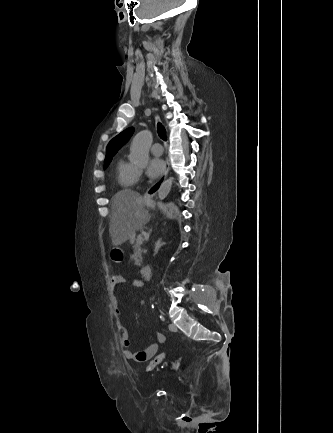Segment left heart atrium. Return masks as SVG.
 Listing matches in <instances>:
<instances>
[{
  "label": "left heart atrium",
  "instance_id": "obj_1",
  "mask_svg": "<svg viewBox=\"0 0 333 433\" xmlns=\"http://www.w3.org/2000/svg\"><path fill=\"white\" fill-rule=\"evenodd\" d=\"M165 169V162L160 157H153L150 159L147 167V174L151 178H157Z\"/></svg>",
  "mask_w": 333,
  "mask_h": 433
}]
</instances>
